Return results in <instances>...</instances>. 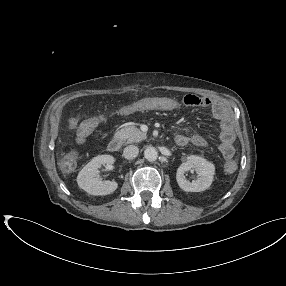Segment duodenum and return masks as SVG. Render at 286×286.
Instances as JSON below:
<instances>
[{
  "label": "duodenum",
  "instance_id": "duodenum-1",
  "mask_svg": "<svg viewBox=\"0 0 286 286\" xmlns=\"http://www.w3.org/2000/svg\"><path fill=\"white\" fill-rule=\"evenodd\" d=\"M121 146H122V141L120 138L116 137V138H113L109 141L108 143V150L110 152H118L120 149H121Z\"/></svg>",
  "mask_w": 286,
  "mask_h": 286
}]
</instances>
